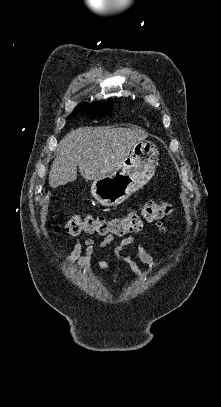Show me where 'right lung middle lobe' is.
<instances>
[{"instance_id": "right-lung-middle-lobe-1", "label": "right lung middle lobe", "mask_w": 221, "mask_h": 407, "mask_svg": "<svg viewBox=\"0 0 221 407\" xmlns=\"http://www.w3.org/2000/svg\"><path fill=\"white\" fill-rule=\"evenodd\" d=\"M113 102L109 100L107 103H80L73 110V112L68 116L67 119L75 116L77 113H84L92 117H105L112 113Z\"/></svg>"}]
</instances>
